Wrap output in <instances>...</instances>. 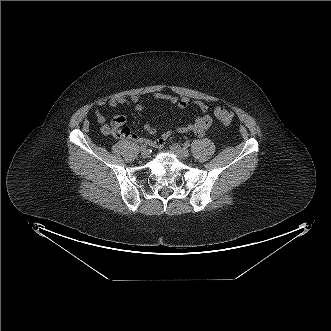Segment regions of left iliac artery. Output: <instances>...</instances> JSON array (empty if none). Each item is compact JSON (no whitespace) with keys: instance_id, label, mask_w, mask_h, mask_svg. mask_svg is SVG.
<instances>
[{"instance_id":"obj_1","label":"left iliac artery","mask_w":331,"mask_h":331,"mask_svg":"<svg viewBox=\"0 0 331 331\" xmlns=\"http://www.w3.org/2000/svg\"><path fill=\"white\" fill-rule=\"evenodd\" d=\"M189 146H190V143L186 141V142L184 143V147H185V148H188Z\"/></svg>"}]
</instances>
